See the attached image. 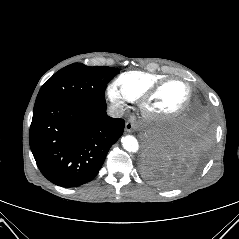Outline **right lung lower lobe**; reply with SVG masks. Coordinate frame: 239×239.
I'll list each match as a JSON object with an SVG mask.
<instances>
[{"label":"right lung lower lobe","mask_w":239,"mask_h":239,"mask_svg":"<svg viewBox=\"0 0 239 239\" xmlns=\"http://www.w3.org/2000/svg\"><path fill=\"white\" fill-rule=\"evenodd\" d=\"M124 120L111 118L106 103L61 100L34 106L30 148L41 173L62 187L91 181L123 134Z\"/></svg>","instance_id":"right-lung-lower-lobe-1"}]
</instances>
